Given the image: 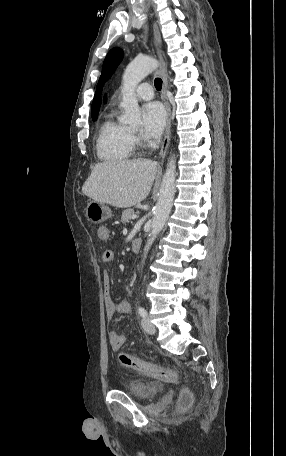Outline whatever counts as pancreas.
Listing matches in <instances>:
<instances>
[{
    "instance_id": "obj_1",
    "label": "pancreas",
    "mask_w": 286,
    "mask_h": 456,
    "mask_svg": "<svg viewBox=\"0 0 286 456\" xmlns=\"http://www.w3.org/2000/svg\"><path fill=\"white\" fill-rule=\"evenodd\" d=\"M134 209H126L122 212V216H121V222L123 223H127L130 221V219L132 218V216L134 215Z\"/></svg>"
}]
</instances>
